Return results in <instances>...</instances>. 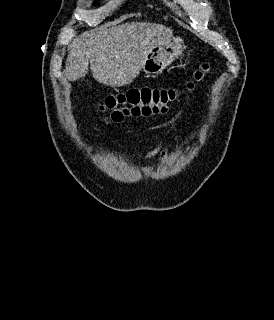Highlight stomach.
<instances>
[{"mask_svg":"<svg viewBox=\"0 0 274 320\" xmlns=\"http://www.w3.org/2000/svg\"><path fill=\"white\" fill-rule=\"evenodd\" d=\"M185 50L181 38H170L165 44H160L151 50L142 64V70L147 76H156L166 70L178 56H181Z\"/></svg>","mask_w":274,"mask_h":320,"instance_id":"0dacf381","label":"stomach"}]
</instances>
